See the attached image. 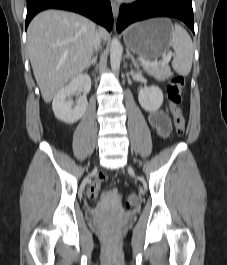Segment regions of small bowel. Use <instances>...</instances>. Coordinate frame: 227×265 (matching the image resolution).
Returning a JSON list of instances; mask_svg holds the SVG:
<instances>
[{
	"instance_id": "small-bowel-1",
	"label": "small bowel",
	"mask_w": 227,
	"mask_h": 265,
	"mask_svg": "<svg viewBox=\"0 0 227 265\" xmlns=\"http://www.w3.org/2000/svg\"><path fill=\"white\" fill-rule=\"evenodd\" d=\"M148 123L156 130L158 135L166 138L171 130L169 117L163 111L151 112L147 115Z\"/></svg>"
}]
</instances>
